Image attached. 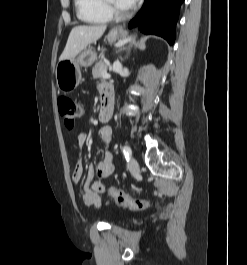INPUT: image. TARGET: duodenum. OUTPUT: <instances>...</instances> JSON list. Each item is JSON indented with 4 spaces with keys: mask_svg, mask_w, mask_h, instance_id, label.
Here are the masks:
<instances>
[{
    "mask_svg": "<svg viewBox=\"0 0 247 265\" xmlns=\"http://www.w3.org/2000/svg\"><path fill=\"white\" fill-rule=\"evenodd\" d=\"M112 97L110 88L102 91V107L99 113L102 122L108 121L112 116Z\"/></svg>",
    "mask_w": 247,
    "mask_h": 265,
    "instance_id": "duodenum-1",
    "label": "duodenum"
}]
</instances>
